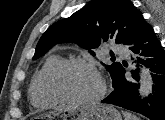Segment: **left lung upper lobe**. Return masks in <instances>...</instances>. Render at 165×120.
<instances>
[{
    "mask_svg": "<svg viewBox=\"0 0 165 120\" xmlns=\"http://www.w3.org/2000/svg\"><path fill=\"white\" fill-rule=\"evenodd\" d=\"M142 19V13L128 0H94L70 17L51 25L40 38L33 60L63 42H75L85 49L98 48L109 40L126 45ZM90 53L94 55L93 51ZM103 65L115 88L121 64Z\"/></svg>",
    "mask_w": 165,
    "mask_h": 120,
    "instance_id": "5c2ea615",
    "label": "left lung upper lobe"
}]
</instances>
